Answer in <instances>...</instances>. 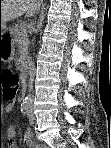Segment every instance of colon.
I'll return each instance as SVG.
<instances>
[{
    "instance_id": "colon-1",
    "label": "colon",
    "mask_w": 111,
    "mask_h": 148,
    "mask_svg": "<svg viewBox=\"0 0 111 148\" xmlns=\"http://www.w3.org/2000/svg\"><path fill=\"white\" fill-rule=\"evenodd\" d=\"M0 85L6 100L15 101L18 94V77L10 70L0 71Z\"/></svg>"
}]
</instances>
